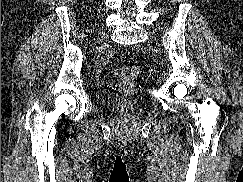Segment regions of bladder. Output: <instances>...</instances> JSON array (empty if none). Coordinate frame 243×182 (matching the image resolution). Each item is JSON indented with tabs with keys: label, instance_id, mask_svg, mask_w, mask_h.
Segmentation results:
<instances>
[{
	"label": "bladder",
	"instance_id": "31cf9c89",
	"mask_svg": "<svg viewBox=\"0 0 243 182\" xmlns=\"http://www.w3.org/2000/svg\"><path fill=\"white\" fill-rule=\"evenodd\" d=\"M99 101L104 105H117L128 111L138 106V101L118 95L100 94Z\"/></svg>",
	"mask_w": 243,
	"mask_h": 182
}]
</instances>
